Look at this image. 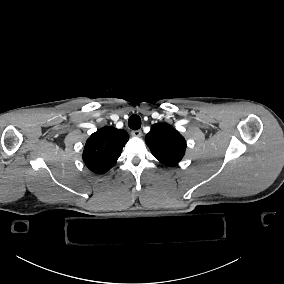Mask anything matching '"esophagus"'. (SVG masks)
Returning <instances> with one entry per match:
<instances>
[{
	"label": "esophagus",
	"instance_id": "34e87169",
	"mask_svg": "<svg viewBox=\"0 0 284 284\" xmlns=\"http://www.w3.org/2000/svg\"><path fill=\"white\" fill-rule=\"evenodd\" d=\"M131 135L134 136V137H141L142 132H141V130H132Z\"/></svg>",
	"mask_w": 284,
	"mask_h": 284
}]
</instances>
